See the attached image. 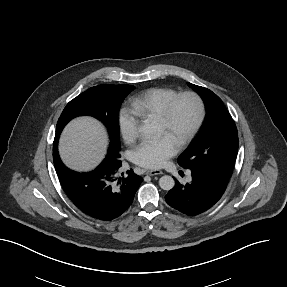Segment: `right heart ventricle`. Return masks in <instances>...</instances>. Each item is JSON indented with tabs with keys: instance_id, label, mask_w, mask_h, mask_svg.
Instances as JSON below:
<instances>
[{
	"instance_id": "1",
	"label": "right heart ventricle",
	"mask_w": 287,
	"mask_h": 287,
	"mask_svg": "<svg viewBox=\"0 0 287 287\" xmlns=\"http://www.w3.org/2000/svg\"><path fill=\"white\" fill-rule=\"evenodd\" d=\"M177 92L171 88H151L131 101V108L134 114L141 119L153 117L159 118L168 101Z\"/></svg>"
}]
</instances>
